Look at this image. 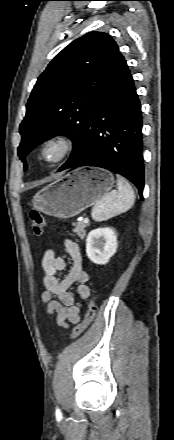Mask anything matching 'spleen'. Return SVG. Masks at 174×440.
<instances>
[{
  "label": "spleen",
  "instance_id": "3e777b00",
  "mask_svg": "<svg viewBox=\"0 0 174 440\" xmlns=\"http://www.w3.org/2000/svg\"><path fill=\"white\" fill-rule=\"evenodd\" d=\"M117 188V191L105 194L93 207L91 216L96 222L106 221L133 206L134 191L128 181L120 175H117Z\"/></svg>",
  "mask_w": 174,
  "mask_h": 440
}]
</instances>
